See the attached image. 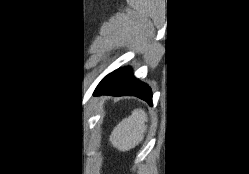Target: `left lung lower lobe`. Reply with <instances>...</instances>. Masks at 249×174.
Instances as JSON below:
<instances>
[{
  "instance_id": "0a47b994",
  "label": "left lung lower lobe",
  "mask_w": 249,
  "mask_h": 174,
  "mask_svg": "<svg viewBox=\"0 0 249 174\" xmlns=\"http://www.w3.org/2000/svg\"><path fill=\"white\" fill-rule=\"evenodd\" d=\"M94 95L136 96L152 105V93L148 85L131 75L129 67L119 68L99 83Z\"/></svg>"
}]
</instances>
